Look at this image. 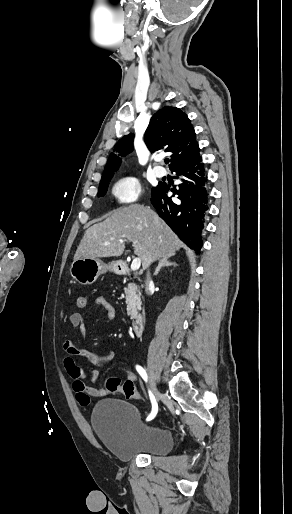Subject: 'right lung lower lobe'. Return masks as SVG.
Returning <instances> with one entry per match:
<instances>
[{"label": "right lung lower lobe", "instance_id": "98d812e1", "mask_svg": "<svg viewBox=\"0 0 292 514\" xmlns=\"http://www.w3.org/2000/svg\"><path fill=\"white\" fill-rule=\"evenodd\" d=\"M181 183L169 188L159 183L151 191V203L159 216L191 249L202 247L201 232L208 210L209 190L204 164L200 155L171 169ZM168 191L173 195L167 196Z\"/></svg>", "mask_w": 292, "mask_h": 514}]
</instances>
